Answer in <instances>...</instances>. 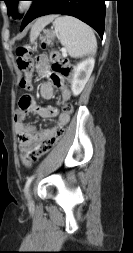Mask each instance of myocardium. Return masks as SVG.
Returning a JSON list of instances; mask_svg holds the SVG:
<instances>
[{"mask_svg":"<svg viewBox=\"0 0 133 253\" xmlns=\"http://www.w3.org/2000/svg\"><path fill=\"white\" fill-rule=\"evenodd\" d=\"M33 7V2L30 0H21L15 4V10L18 14L22 15L29 12Z\"/></svg>","mask_w":133,"mask_h":253,"instance_id":"1","label":"myocardium"}]
</instances>
